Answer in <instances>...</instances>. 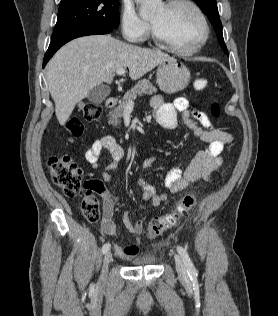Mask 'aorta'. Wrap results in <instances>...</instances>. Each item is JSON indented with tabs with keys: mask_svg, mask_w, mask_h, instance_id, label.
<instances>
[{
	"mask_svg": "<svg viewBox=\"0 0 278 316\" xmlns=\"http://www.w3.org/2000/svg\"><path fill=\"white\" fill-rule=\"evenodd\" d=\"M140 4V16L146 18L152 14H154L159 5L161 4V0H136Z\"/></svg>",
	"mask_w": 278,
	"mask_h": 316,
	"instance_id": "aorta-1",
	"label": "aorta"
}]
</instances>
